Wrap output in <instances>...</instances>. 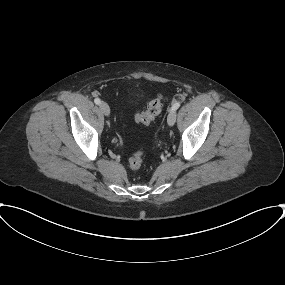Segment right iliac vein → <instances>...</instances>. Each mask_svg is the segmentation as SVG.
Returning a JSON list of instances; mask_svg holds the SVG:
<instances>
[{"label": "right iliac vein", "mask_w": 285, "mask_h": 285, "mask_svg": "<svg viewBox=\"0 0 285 285\" xmlns=\"http://www.w3.org/2000/svg\"><path fill=\"white\" fill-rule=\"evenodd\" d=\"M99 107H100V110L102 111V113H103L105 116H109V114H110V108H109V106H108L107 103L101 102Z\"/></svg>", "instance_id": "63e3f726"}]
</instances>
